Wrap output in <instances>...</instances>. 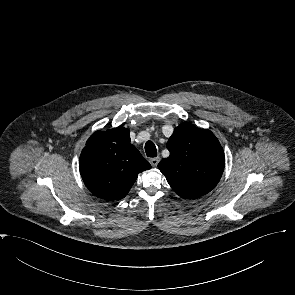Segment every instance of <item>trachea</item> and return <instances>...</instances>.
<instances>
[{"instance_id":"obj_1","label":"trachea","mask_w":295,"mask_h":295,"mask_svg":"<svg viewBox=\"0 0 295 295\" xmlns=\"http://www.w3.org/2000/svg\"><path fill=\"white\" fill-rule=\"evenodd\" d=\"M145 151L148 157H156L157 149L152 141H147L145 144Z\"/></svg>"}]
</instances>
